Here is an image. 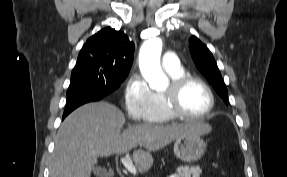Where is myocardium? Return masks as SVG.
Masks as SVG:
<instances>
[{"label": "myocardium", "mask_w": 287, "mask_h": 177, "mask_svg": "<svg viewBox=\"0 0 287 177\" xmlns=\"http://www.w3.org/2000/svg\"><path fill=\"white\" fill-rule=\"evenodd\" d=\"M191 83H198L207 91L209 95L210 99L209 107L203 114L194 115L187 113L182 109L180 105L182 92L186 88V86H188ZM162 94L165 99L168 111L174 117L178 118H185L191 120L205 119L212 113L215 107V95L210 85L203 79L190 74H184L174 80H171L168 87L164 90Z\"/></svg>", "instance_id": "f54148a6"}]
</instances>
